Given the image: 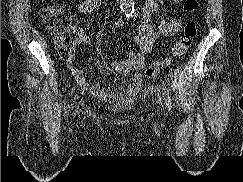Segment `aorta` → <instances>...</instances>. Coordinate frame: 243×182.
I'll return each instance as SVG.
<instances>
[{"label": "aorta", "instance_id": "762f6f07", "mask_svg": "<svg viewBox=\"0 0 243 182\" xmlns=\"http://www.w3.org/2000/svg\"><path fill=\"white\" fill-rule=\"evenodd\" d=\"M118 3L127 18L133 15L135 0H118Z\"/></svg>", "mask_w": 243, "mask_h": 182}]
</instances>
